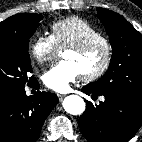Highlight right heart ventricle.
Here are the masks:
<instances>
[{
	"mask_svg": "<svg viewBox=\"0 0 142 142\" xmlns=\"http://www.w3.org/2000/svg\"><path fill=\"white\" fill-rule=\"evenodd\" d=\"M51 36L59 49H65L93 39H106L97 27L77 16L68 17L53 23Z\"/></svg>",
	"mask_w": 142,
	"mask_h": 142,
	"instance_id": "e07e8e85",
	"label": "right heart ventricle"
}]
</instances>
